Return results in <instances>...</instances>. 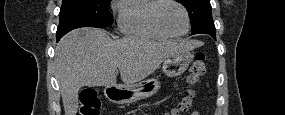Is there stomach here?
Listing matches in <instances>:
<instances>
[{
	"instance_id": "stomach-1",
	"label": "stomach",
	"mask_w": 285,
	"mask_h": 115,
	"mask_svg": "<svg viewBox=\"0 0 285 115\" xmlns=\"http://www.w3.org/2000/svg\"><path fill=\"white\" fill-rule=\"evenodd\" d=\"M192 59L189 52L174 54L164 60L162 70L168 77L180 76L187 70ZM160 87L158 79L152 78L132 85L106 86L104 95L115 104H132L155 95Z\"/></svg>"
}]
</instances>
